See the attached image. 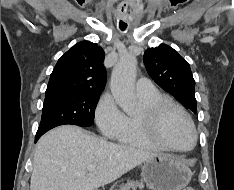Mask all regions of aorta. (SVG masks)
Wrapping results in <instances>:
<instances>
[{"mask_svg":"<svg viewBox=\"0 0 234 190\" xmlns=\"http://www.w3.org/2000/svg\"><path fill=\"white\" fill-rule=\"evenodd\" d=\"M136 58L132 55H124L115 65L111 75V92L116 103L130 114L134 111L136 97L134 92V80L136 74Z\"/></svg>","mask_w":234,"mask_h":190,"instance_id":"aorta-1","label":"aorta"}]
</instances>
